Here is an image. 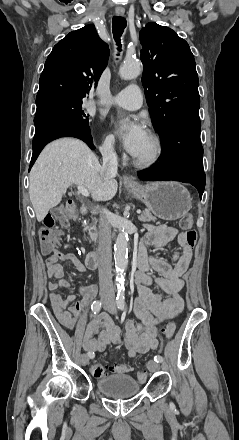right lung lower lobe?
<instances>
[{
	"label": "right lung lower lobe",
	"mask_w": 239,
	"mask_h": 440,
	"mask_svg": "<svg viewBox=\"0 0 239 440\" xmlns=\"http://www.w3.org/2000/svg\"><path fill=\"white\" fill-rule=\"evenodd\" d=\"M35 136L32 142L33 154L30 168L44 146L61 137H75L83 140L91 149H95L90 137L89 125L76 122L58 113L48 112L35 116Z\"/></svg>",
	"instance_id": "right-lung-lower-lobe-1"
}]
</instances>
